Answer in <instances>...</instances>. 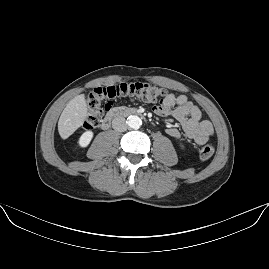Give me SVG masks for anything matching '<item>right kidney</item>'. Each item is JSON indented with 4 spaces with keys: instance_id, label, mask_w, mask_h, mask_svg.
<instances>
[{
    "instance_id": "ca27d5eb",
    "label": "right kidney",
    "mask_w": 269,
    "mask_h": 269,
    "mask_svg": "<svg viewBox=\"0 0 269 269\" xmlns=\"http://www.w3.org/2000/svg\"><path fill=\"white\" fill-rule=\"evenodd\" d=\"M93 138V132L92 131H86L84 132L80 139H79V145L81 147H86L89 145L90 141L92 140Z\"/></svg>"
}]
</instances>
